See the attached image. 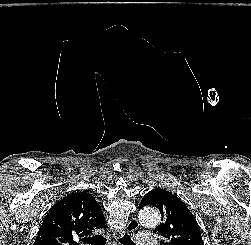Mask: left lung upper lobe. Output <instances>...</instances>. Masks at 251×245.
Listing matches in <instances>:
<instances>
[{"mask_svg":"<svg viewBox=\"0 0 251 245\" xmlns=\"http://www.w3.org/2000/svg\"><path fill=\"white\" fill-rule=\"evenodd\" d=\"M147 205L160 210L162 224L154 233L162 237L161 245H203L194 215L177 196L164 189H153L143 197L139 209Z\"/></svg>","mask_w":251,"mask_h":245,"instance_id":"5c2ea615","label":"left lung upper lobe"}]
</instances>
